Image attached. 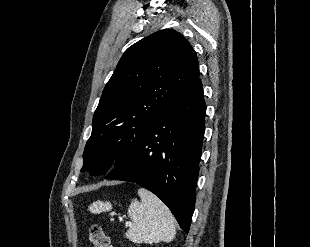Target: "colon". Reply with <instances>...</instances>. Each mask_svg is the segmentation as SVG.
I'll return each instance as SVG.
<instances>
[{
  "mask_svg": "<svg viewBox=\"0 0 310 247\" xmlns=\"http://www.w3.org/2000/svg\"><path fill=\"white\" fill-rule=\"evenodd\" d=\"M89 240L93 247H112L109 237L102 227L97 224L90 226Z\"/></svg>",
  "mask_w": 310,
  "mask_h": 247,
  "instance_id": "obj_1",
  "label": "colon"
}]
</instances>
